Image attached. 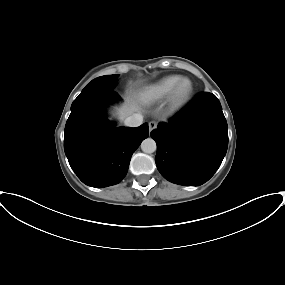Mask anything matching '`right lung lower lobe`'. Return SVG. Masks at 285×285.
<instances>
[{"mask_svg": "<svg viewBox=\"0 0 285 285\" xmlns=\"http://www.w3.org/2000/svg\"><path fill=\"white\" fill-rule=\"evenodd\" d=\"M119 97L114 90L90 95L71 107L64 132L69 164L86 185L118 184L128 171L132 154L148 137V124L115 127L104 119L105 107Z\"/></svg>", "mask_w": 285, "mask_h": 285, "instance_id": "98d812e1", "label": "right lung lower lobe"}]
</instances>
